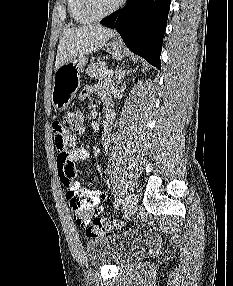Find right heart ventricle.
Returning <instances> with one entry per match:
<instances>
[{"label":"right heart ventricle","instance_id":"1","mask_svg":"<svg viewBox=\"0 0 233 286\" xmlns=\"http://www.w3.org/2000/svg\"><path fill=\"white\" fill-rule=\"evenodd\" d=\"M68 11L78 24H89L95 20L85 9L83 0H67Z\"/></svg>","mask_w":233,"mask_h":286}]
</instances>
